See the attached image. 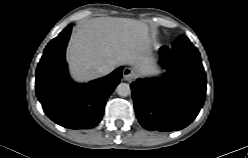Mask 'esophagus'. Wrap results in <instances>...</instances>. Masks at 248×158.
Here are the masks:
<instances>
[{
    "label": "esophagus",
    "instance_id": "obj_1",
    "mask_svg": "<svg viewBox=\"0 0 248 158\" xmlns=\"http://www.w3.org/2000/svg\"><path fill=\"white\" fill-rule=\"evenodd\" d=\"M137 73L132 68H125L123 70V77L127 81H132L136 78Z\"/></svg>",
    "mask_w": 248,
    "mask_h": 158
}]
</instances>
